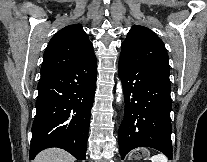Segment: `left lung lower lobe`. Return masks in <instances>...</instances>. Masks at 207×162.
<instances>
[{
	"mask_svg": "<svg viewBox=\"0 0 207 162\" xmlns=\"http://www.w3.org/2000/svg\"><path fill=\"white\" fill-rule=\"evenodd\" d=\"M125 100L119 128L122 159L137 147H150L172 159L169 74L119 59Z\"/></svg>",
	"mask_w": 207,
	"mask_h": 162,
	"instance_id": "left-lung-lower-lobe-1",
	"label": "left lung lower lobe"
}]
</instances>
